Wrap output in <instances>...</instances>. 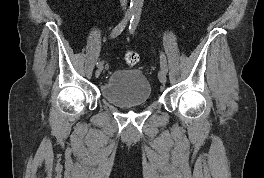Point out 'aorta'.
Returning <instances> with one entry per match:
<instances>
[{
	"label": "aorta",
	"mask_w": 264,
	"mask_h": 178,
	"mask_svg": "<svg viewBox=\"0 0 264 178\" xmlns=\"http://www.w3.org/2000/svg\"><path fill=\"white\" fill-rule=\"evenodd\" d=\"M144 0H131L130 9L132 11L140 12L143 7Z\"/></svg>",
	"instance_id": "1"
}]
</instances>
